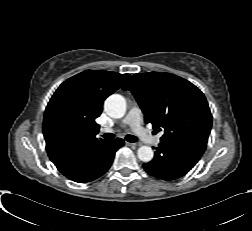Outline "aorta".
I'll return each instance as SVG.
<instances>
[{"label": "aorta", "mask_w": 252, "mask_h": 231, "mask_svg": "<svg viewBox=\"0 0 252 231\" xmlns=\"http://www.w3.org/2000/svg\"><path fill=\"white\" fill-rule=\"evenodd\" d=\"M104 109L110 117L122 118L126 112V101L123 96L113 94L105 100ZM137 156L142 162L148 163L153 159L154 152L149 146H141L137 150Z\"/></svg>", "instance_id": "obj_1"}]
</instances>
